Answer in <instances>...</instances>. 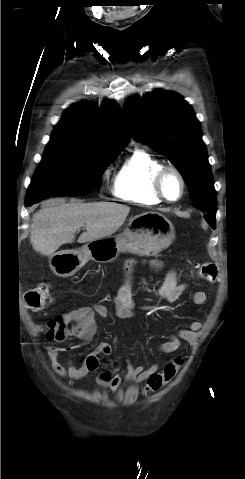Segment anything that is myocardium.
Wrapping results in <instances>:
<instances>
[{
  "instance_id": "1",
  "label": "myocardium",
  "mask_w": 245,
  "mask_h": 479,
  "mask_svg": "<svg viewBox=\"0 0 245 479\" xmlns=\"http://www.w3.org/2000/svg\"><path fill=\"white\" fill-rule=\"evenodd\" d=\"M170 175H174L180 183L181 190H180V194L178 195V197L176 199L168 198L166 193H165V181H166L167 177L170 176ZM153 185H154V190H155V193L157 194V196L162 201H165V202H168V203H176V202L180 201L184 197L185 192H186L185 178L182 175V173L176 167H173V166L162 167L155 174Z\"/></svg>"
}]
</instances>
